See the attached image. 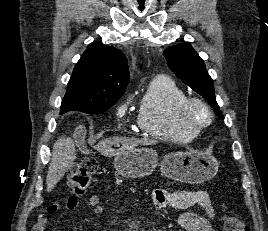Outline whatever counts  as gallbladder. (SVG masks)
Listing matches in <instances>:
<instances>
[{
  "label": "gallbladder",
  "mask_w": 268,
  "mask_h": 231,
  "mask_svg": "<svg viewBox=\"0 0 268 231\" xmlns=\"http://www.w3.org/2000/svg\"><path fill=\"white\" fill-rule=\"evenodd\" d=\"M79 148L83 151V152H85V153H89L90 151L89 150H86L85 148H84V146L80 143L79 144Z\"/></svg>",
  "instance_id": "bac80fb5"
}]
</instances>
